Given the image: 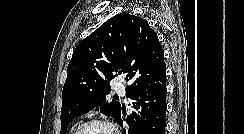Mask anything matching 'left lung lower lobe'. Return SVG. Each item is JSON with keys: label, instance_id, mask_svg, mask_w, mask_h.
Segmentation results:
<instances>
[{"label": "left lung lower lobe", "instance_id": "1", "mask_svg": "<svg viewBox=\"0 0 244 134\" xmlns=\"http://www.w3.org/2000/svg\"><path fill=\"white\" fill-rule=\"evenodd\" d=\"M166 92L165 83L126 93L133 100L132 108L138 110V113L126 118L131 134H165ZM122 113L117 118L120 125H122Z\"/></svg>", "mask_w": 244, "mask_h": 134}]
</instances>
